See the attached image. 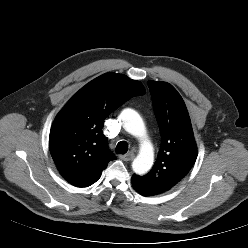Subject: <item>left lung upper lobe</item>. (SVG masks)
<instances>
[{
  "label": "left lung upper lobe",
  "instance_id": "left-lung-upper-lobe-1",
  "mask_svg": "<svg viewBox=\"0 0 248 248\" xmlns=\"http://www.w3.org/2000/svg\"><path fill=\"white\" fill-rule=\"evenodd\" d=\"M153 108L161 133L157 160L144 176L132 175L133 187L149 196L162 194L182 181L197 158L190 117L186 105L173 86L148 81Z\"/></svg>",
  "mask_w": 248,
  "mask_h": 248
}]
</instances>
